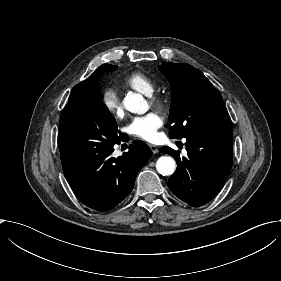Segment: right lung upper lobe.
I'll use <instances>...</instances> for the list:
<instances>
[{
	"instance_id": "obj_1",
	"label": "right lung upper lobe",
	"mask_w": 281,
	"mask_h": 281,
	"mask_svg": "<svg viewBox=\"0 0 281 281\" xmlns=\"http://www.w3.org/2000/svg\"><path fill=\"white\" fill-rule=\"evenodd\" d=\"M111 66H114V65H109V64H103L102 66H100L93 74L92 76L83 81L84 84H88V83H94V84H97L99 85L98 81L96 80V78L101 74V73H104L106 71H112L110 68Z\"/></svg>"
}]
</instances>
